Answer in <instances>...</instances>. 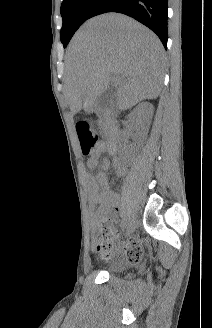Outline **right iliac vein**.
Returning <instances> with one entry per match:
<instances>
[{
  "mask_svg": "<svg viewBox=\"0 0 212 328\" xmlns=\"http://www.w3.org/2000/svg\"><path fill=\"white\" fill-rule=\"evenodd\" d=\"M135 228H136V220H135V218H132L127 226L128 235L132 234L134 232Z\"/></svg>",
  "mask_w": 212,
  "mask_h": 328,
  "instance_id": "1",
  "label": "right iliac vein"
}]
</instances>
